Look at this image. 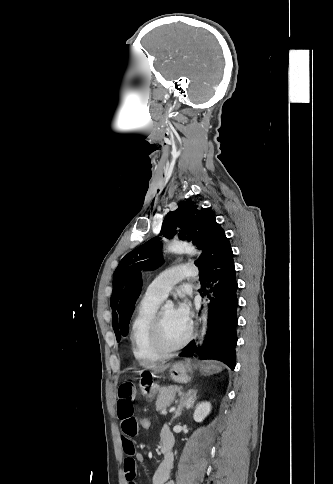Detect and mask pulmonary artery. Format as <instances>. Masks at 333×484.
<instances>
[{
	"mask_svg": "<svg viewBox=\"0 0 333 484\" xmlns=\"http://www.w3.org/2000/svg\"><path fill=\"white\" fill-rule=\"evenodd\" d=\"M194 275H196V268L193 264L185 263L173 266L161 272L149 284L146 295L163 300L179 281Z\"/></svg>",
	"mask_w": 333,
	"mask_h": 484,
	"instance_id": "obj_1",
	"label": "pulmonary artery"
}]
</instances>
